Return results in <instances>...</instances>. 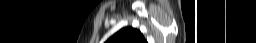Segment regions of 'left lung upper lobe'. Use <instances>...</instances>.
Wrapping results in <instances>:
<instances>
[{
    "label": "left lung upper lobe",
    "mask_w": 256,
    "mask_h": 43,
    "mask_svg": "<svg viewBox=\"0 0 256 43\" xmlns=\"http://www.w3.org/2000/svg\"><path fill=\"white\" fill-rule=\"evenodd\" d=\"M107 43H147L140 31L131 27L123 28L111 38Z\"/></svg>",
    "instance_id": "1"
}]
</instances>
